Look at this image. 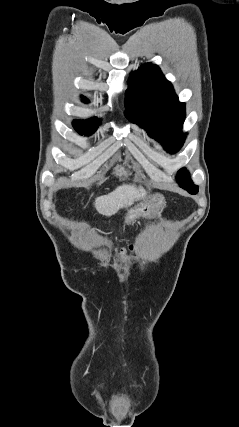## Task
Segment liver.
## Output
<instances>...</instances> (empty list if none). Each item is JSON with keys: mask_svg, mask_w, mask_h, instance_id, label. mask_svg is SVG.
<instances>
[{"mask_svg": "<svg viewBox=\"0 0 239 427\" xmlns=\"http://www.w3.org/2000/svg\"><path fill=\"white\" fill-rule=\"evenodd\" d=\"M146 197V191L135 185L123 184L113 192L100 196L95 200L96 210L105 216H112L120 209L126 208Z\"/></svg>", "mask_w": 239, "mask_h": 427, "instance_id": "1", "label": "liver"}]
</instances>
